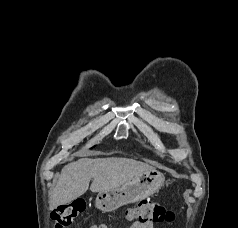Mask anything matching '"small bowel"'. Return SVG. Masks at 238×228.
Listing matches in <instances>:
<instances>
[{"mask_svg": "<svg viewBox=\"0 0 238 228\" xmlns=\"http://www.w3.org/2000/svg\"><path fill=\"white\" fill-rule=\"evenodd\" d=\"M103 228H106V227H103ZM130 228H154V226L152 224H141L135 221L131 224Z\"/></svg>", "mask_w": 238, "mask_h": 228, "instance_id": "small-bowel-1", "label": "small bowel"}]
</instances>
